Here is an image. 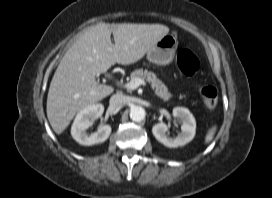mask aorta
<instances>
[{"mask_svg": "<svg viewBox=\"0 0 272 198\" xmlns=\"http://www.w3.org/2000/svg\"><path fill=\"white\" fill-rule=\"evenodd\" d=\"M145 110L141 106H133L130 109V118L135 122H141L145 118Z\"/></svg>", "mask_w": 272, "mask_h": 198, "instance_id": "762f6f07", "label": "aorta"}]
</instances>
